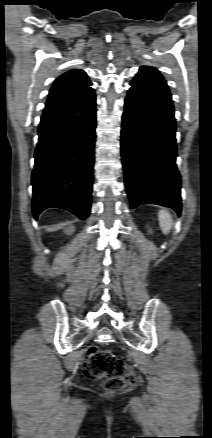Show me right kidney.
<instances>
[{
	"mask_svg": "<svg viewBox=\"0 0 212 438\" xmlns=\"http://www.w3.org/2000/svg\"><path fill=\"white\" fill-rule=\"evenodd\" d=\"M66 231L69 232V233H71V232L73 231V227H68V228H66Z\"/></svg>",
	"mask_w": 212,
	"mask_h": 438,
	"instance_id": "right-kidney-1",
	"label": "right kidney"
}]
</instances>
